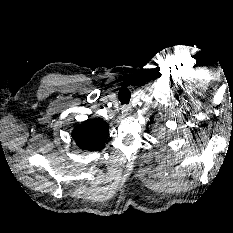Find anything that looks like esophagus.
Here are the masks:
<instances>
[{
  "instance_id": "obj_1",
  "label": "esophagus",
  "mask_w": 233,
  "mask_h": 233,
  "mask_svg": "<svg viewBox=\"0 0 233 233\" xmlns=\"http://www.w3.org/2000/svg\"><path fill=\"white\" fill-rule=\"evenodd\" d=\"M122 113L125 116L130 115L131 114V108H130V106H127V105L123 106L122 107Z\"/></svg>"
}]
</instances>
